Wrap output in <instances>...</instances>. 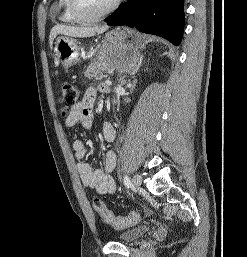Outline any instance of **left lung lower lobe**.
Segmentation results:
<instances>
[{"label":"left lung lower lobe","instance_id":"left-lung-lower-lobe-1","mask_svg":"<svg viewBox=\"0 0 247 257\" xmlns=\"http://www.w3.org/2000/svg\"><path fill=\"white\" fill-rule=\"evenodd\" d=\"M107 19L108 25L135 27L178 46L184 30V0H128Z\"/></svg>","mask_w":247,"mask_h":257}]
</instances>
